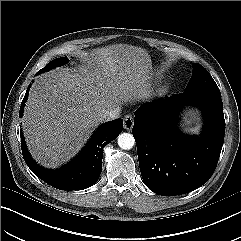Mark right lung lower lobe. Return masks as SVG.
<instances>
[{"mask_svg": "<svg viewBox=\"0 0 241 241\" xmlns=\"http://www.w3.org/2000/svg\"><path fill=\"white\" fill-rule=\"evenodd\" d=\"M41 72H37L39 74ZM29 85L21 103L19 117H22L24 104L28 98ZM123 129V120L117 119L108 122L95 132L85 148L78 156L59 170H47L40 167L31 158L21 135V148L24 160L30 170L41 180L60 190H82L93 185L102 170L103 148L116 139Z\"/></svg>", "mask_w": 241, "mask_h": 241, "instance_id": "obj_1", "label": "right lung lower lobe"}]
</instances>
